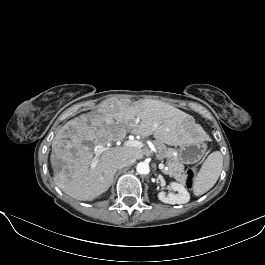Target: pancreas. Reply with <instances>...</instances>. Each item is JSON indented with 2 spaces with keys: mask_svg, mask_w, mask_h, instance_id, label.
<instances>
[{
  "mask_svg": "<svg viewBox=\"0 0 265 265\" xmlns=\"http://www.w3.org/2000/svg\"><path fill=\"white\" fill-rule=\"evenodd\" d=\"M155 146L159 153L160 159H167L166 168L162 170L164 174L173 176L178 181H184L186 175L184 173V165L181 163L178 156H175V150L167 148L164 144L156 142Z\"/></svg>",
  "mask_w": 265,
  "mask_h": 265,
  "instance_id": "1",
  "label": "pancreas"
}]
</instances>
